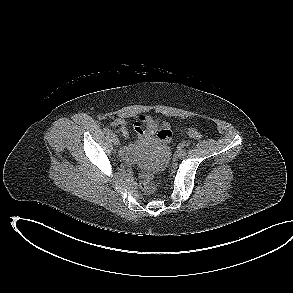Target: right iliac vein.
Masks as SVG:
<instances>
[{
	"instance_id": "1",
	"label": "right iliac vein",
	"mask_w": 293,
	"mask_h": 293,
	"mask_svg": "<svg viewBox=\"0 0 293 293\" xmlns=\"http://www.w3.org/2000/svg\"><path fill=\"white\" fill-rule=\"evenodd\" d=\"M111 140H112V142H113V144H114L115 146L120 145V141H119V139L117 138L116 135H112V136H111Z\"/></svg>"
}]
</instances>
